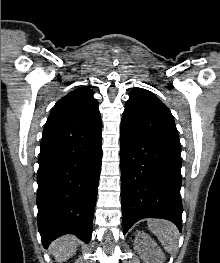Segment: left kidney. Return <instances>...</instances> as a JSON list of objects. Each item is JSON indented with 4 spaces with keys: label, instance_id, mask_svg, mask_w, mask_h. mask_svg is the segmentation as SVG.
<instances>
[{
    "label": "left kidney",
    "instance_id": "obj_1",
    "mask_svg": "<svg viewBox=\"0 0 220 263\" xmlns=\"http://www.w3.org/2000/svg\"><path fill=\"white\" fill-rule=\"evenodd\" d=\"M134 249L146 263H163L165 260L162 250L145 232H136Z\"/></svg>",
    "mask_w": 220,
    "mask_h": 263
}]
</instances>
